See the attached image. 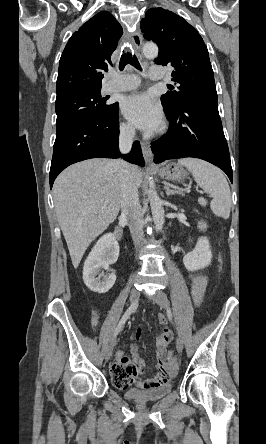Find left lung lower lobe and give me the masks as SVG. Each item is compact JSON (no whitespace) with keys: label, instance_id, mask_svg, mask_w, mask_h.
<instances>
[{"label":"left lung lower lobe","instance_id":"obj_1","mask_svg":"<svg viewBox=\"0 0 266 444\" xmlns=\"http://www.w3.org/2000/svg\"><path fill=\"white\" fill-rule=\"evenodd\" d=\"M169 130L152 144L156 163L167 159L194 157L221 168L233 182L227 141L218 112V100L198 99L167 113Z\"/></svg>","mask_w":266,"mask_h":444}]
</instances>
